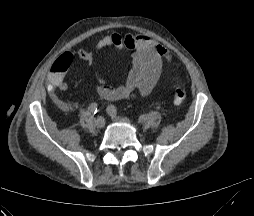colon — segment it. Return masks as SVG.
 I'll use <instances>...</instances> for the list:
<instances>
[{
	"mask_svg": "<svg viewBox=\"0 0 254 216\" xmlns=\"http://www.w3.org/2000/svg\"><path fill=\"white\" fill-rule=\"evenodd\" d=\"M68 66L60 61V58L53 64L52 70L65 71ZM186 98V90L182 84H178L173 92V100L175 104H181Z\"/></svg>",
	"mask_w": 254,
	"mask_h": 216,
	"instance_id": "5ec220e1",
	"label": "colon"
}]
</instances>
